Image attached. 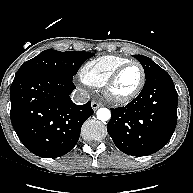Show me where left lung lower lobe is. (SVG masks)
<instances>
[{
	"instance_id": "0a47b994",
	"label": "left lung lower lobe",
	"mask_w": 193,
	"mask_h": 193,
	"mask_svg": "<svg viewBox=\"0 0 193 193\" xmlns=\"http://www.w3.org/2000/svg\"><path fill=\"white\" fill-rule=\"evenodd\" d=\"M178 94L161 67L146 78L141 93L125 107L111 109L107 131L132 156H147L170 140L177 124Z\"/></svg>"
}]
</instances>
